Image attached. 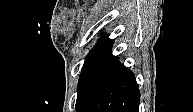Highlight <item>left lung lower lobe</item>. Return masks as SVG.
Returning a JSON list of instances; mask_svg holds the SVG:
<instances>
[{
	"label": "left lung lower lobe",
	"mask_w": 193,
	"mask_h": 112,
	"mask_svg": "<svg viewBox=\"0 0 193 112\" xmlns=\"http://www.w3.org/2000/svg\"><path fill=\"white\" fill-rule=\"evenodd\" d=\"M103 36L85 58L77 91V112H139L140 91L132 71L111 54Z\"/></svg>",
	"instance_id": "obj_1"
}]
</instances>
